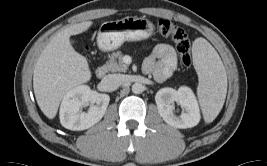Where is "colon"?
I'll return each instance as SVG.
<instances>
[{
    "instance_id": "1",
    "label": "colon",
    "mask_w": 267,
    "mask_h": 166,
    "mask_svg": "<svg viewBox=\"0 0 267 166\" xmlns=\"http://www.w3.org/2000/svg\"><path fill=\"white\" fill-rule=\"evenodd\" d=\"M157 31L160 35L173 39L182 64L186 67L190 66L191 43L185 30L168 19H160L157 22Z\"/></svg>"
}]
</instances>
